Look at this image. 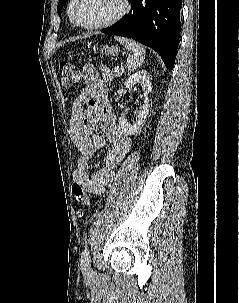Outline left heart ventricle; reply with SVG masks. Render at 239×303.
Segmentation results:
<instances>
[{
	"label": "left heart ventricle",
	"mask_w": 239,
	"mask_h": 303,
	"mask_svg": "<svg viewBox=\"0 0 239 303\" xmlns=\"http://www.w3.org/2000/svg\"><path fill=\"white\" fill-rule=\"evenodd\" d=\"M120 9V0H79L76 14L81 23L94 24L111 19Z\"/></svg>",
	"instance_id": "1"
}]
</instances>
